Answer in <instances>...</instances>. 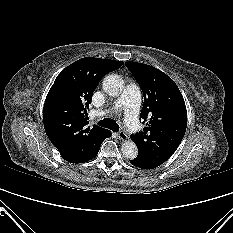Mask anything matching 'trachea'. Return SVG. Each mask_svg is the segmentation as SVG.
Instances as JSON below:
<instances>
[{
    "mask_svg": "<svg viewBox=\"0 0 233 233\" xmlns=\"http://www.w3.org/2000/svg\"><path fill=\"white\" fill-rule=\"evenodd\" d=\"M98 125L99 126H102V127H105V128H108V129H111L112 131L114 132H118L119 131V126L118 124L113 121V120H110V119H103V120H100L98 122Z\"/></svg>",
    "mask_w": 233,
    "mask_h": 233,
    "instance_id": "1",
    "label": "trachea"
}]
</instances>
